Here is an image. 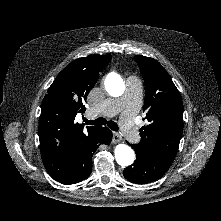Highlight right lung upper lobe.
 <instances>
[{"instance_id":"obj_1","label":"right lung upper lobe","mask_w":221,"mask_h":221,"mask_svg":"<svg viewBox=\"0 0 221 221\" xmlns=\"http://www.w3.org/2000/svg\"><path fill=\"white\" fill-rule=\"evenodd\" d=\"M110 60V54L74 60L57 75L45 95L39 123L41 156L56 181L67 174L77 149L99 128L84 129L74 120L78 112L85 111L83 103Z\"/></svg>"}]
</instances>
